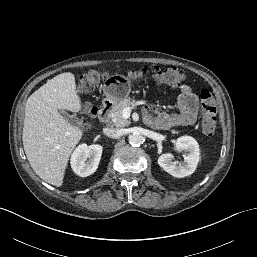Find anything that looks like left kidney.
Segmentation results:
<instances>
[{
  "instance_id": "5707ae66",
  "label": "left kidney",
  "mask_w": 257,
  "mask_h": 257,
  "mask_svg": "<svg viewBox=\"0 0 257 257\" xmlns=\"http://www.w3.org/2000/svg\"><path fill=\"white\" fill-rule=\"evenodd\" d=\"M176 149L179 152H185L184 161L182 163L173 161V155L166 153L158 158V164L167 173L176 178L191 175L196 170L200 160V150L197 141L190 136L179 137L176 141Z\"/></svg>"
}]
</instances>
